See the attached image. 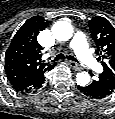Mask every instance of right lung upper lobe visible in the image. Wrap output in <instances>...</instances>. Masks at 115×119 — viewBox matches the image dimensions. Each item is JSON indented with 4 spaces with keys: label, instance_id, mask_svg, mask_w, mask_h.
<instances>
[{
    "label": "right lung upper lobe",
    "instance_id": "1",
    "mask_svg": "<svg viewBox=\"0 0 115 119\" xmlns=\"http://www.w3.org/2000/svg\"><path fill=\"white\" fill-rule=\"evenodd\" d=\"M48 25L41 16L27 20L13 37L5 53V71L12 85L32 78L55 65L41 60V46L37 35Z\"/></svg>",
    "mask_w": 115,
    "mask_h": 119
}]
</instances>
